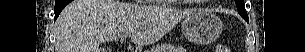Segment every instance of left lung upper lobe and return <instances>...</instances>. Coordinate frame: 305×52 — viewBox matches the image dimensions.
<instances>
[{
  "instance_id": "obj_1",
  "label": "left lung upper lobe",
  "mask_w": 305,
  "mask_h": 52,
  "mask_svg": "<svg viewBox=\"0 0 305 52\" xmlns=\"http://www.w3.org/2000/svg\"><path fill=\"white\" fill-rule=\"evenodd\" d=\"M236 7L238 9L239 14L245 19L248 20V15L244 7L243 0H235Z\"/></svg>"
}]
</instances>
